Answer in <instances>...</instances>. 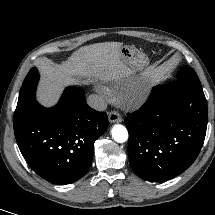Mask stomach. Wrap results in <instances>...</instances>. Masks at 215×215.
Here are the masks:
<instances>
[{
	"instance_id": "0dacf381",
	"label": "stomach",
	"mask_w": 215,
	"mask_h": 215,
	"mask_svg": "<svg viewBox=\"0 0 215 215\" xmlns=\"http://www.w3.org/2000/svg\"><path fill=\"white\" fill-rule=\"evenodd\" d=\"M120 55L121 60L128 65L133 72L141 71L149 65L147 56L133 46H122Z\"/></svg>"
}]
</instances>
